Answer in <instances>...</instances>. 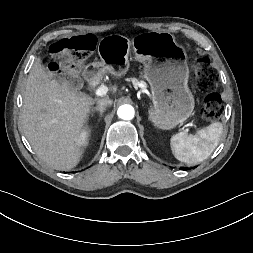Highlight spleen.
Segmentation results:
<instances>
[{
    "instance_id": "spleen-1",
    "label": "spleen",
    "mask_w": 253,
    "mask_h": 253,
    "mask_svg": "<svg viewBox=\"0 0 253 253\" xmlns=\"http://www.w3.org/2000/svg\"><path fill=\"white\" fill-rule=\"evenodd\" d=\"M223 126L214 122L200 129L195 135L180 132L171 138V150L175 158L193 166L207 159L217 147Z\"/></svg>"
}]
</instances>
